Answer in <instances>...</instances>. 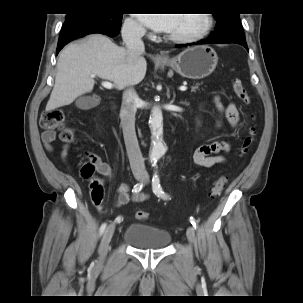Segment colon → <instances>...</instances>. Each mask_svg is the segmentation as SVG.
Returning <instances> with one entry per match:
<instances>
[{
    "label": "colon",
    "instance_id": "1",
    "mask_svg": "<svg viewBox=\"0 0 303 303\" xmlns=\"http://www.w3.org/2000/svg\"><path fill=\"white\" fill-rule=\"evenodd\" d=\"M232 87L237 97L242 103L248 105L250 103V96L244 87L242 80L239 77L232 79ZM40 126L44 129L58 130L60 131L61 139L66 143H73L75 140L74 131L65 126V116L63 111L59 109L45 111L40 119ZM257 133V128L253 125L249 128V134L245 138L243 144L240 147V154H247L251 141ZM96 160L92 155H89V161L81 164V173L86 178H91L90 194L94 203H101L104 198V189L102 182L94 178ZM227 183L226 176H220L211 187L209 195L212 198L219 196L224 186ZM136 218L140 221H145L149 218L147 211L140 210L136 213Z\"/></svg>",
    "mask_w": 303,
    "mask_h": 303
}]
</instances>
